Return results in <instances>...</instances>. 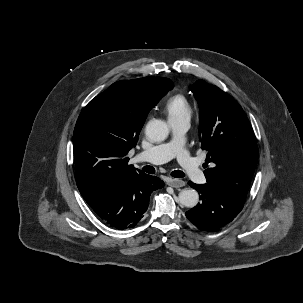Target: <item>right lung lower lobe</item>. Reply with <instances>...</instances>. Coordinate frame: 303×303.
Here are the masks:
<instances>
[{
  "instance_id": "obj_1",
  "label": "right lung lower lobe",
  "mask_w": 303,
  "mask_h": 303,
  "mask_svg": "<svg viewBox=\"0 0 303 303\" xmlns=\"http://www.w3.org/2000/svg\"><path fill=\"white\" fill-rule=\"evenodd\" d=\"M163 186L158 177L136 172L104 190L90 207L114 229L133 228L143 218L150 194Z\"/></svg>"
}]
</instances>
